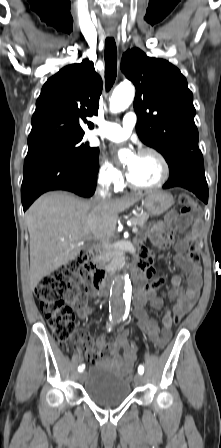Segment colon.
Returning <instances> with one entry per match:
<instances>
[{"mask_svg": "<svg viewBox=\"0 0 221 448\" xmlns=\"http://www.w3.org/2000/svg\"><path fill=\"white\" fill-rule=\"evenodd\" d=\"M179 200L182 207L181 222L188 225L191 216L198 209V205L187 194H181ZM87 259V253H79L75 260L44 276L35 288V295L40 302L41 310L46 316L54 340L61 347H67L71 343L76 330L74 310L68 303L66 295L69 290L71 292L77 287L79 277L87 275L84 271ZM188 259L193 264H198L200 261V256L194 245L189 248ZM173 321L178 323L180 318L174 316ZM83 339L86 344H90L88 337L85 336Z\"/></svg>", "mask_w": 221, "mask_h": 448, "instance_id": "colon-1", "label": "colon"}]
</instances>
